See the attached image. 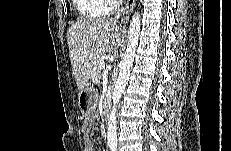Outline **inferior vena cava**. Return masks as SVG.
<instances>
[{
	"label": "inferior vena cava",
	"mask_w": 231,
	"mask_h": 151,
	"mask_svg": "<svg viewBox=\"0 0 231 151\" xmlns=\"http://www.w3.org/2000/svg\"><path fill=\"white\" fill-rule=\"evenodd\" d=\"M120 2L122 3L123 1L120 0ZM124 11H125V9H124V8H121V9L119 10V12L116 14L115 19H119V17L123 14Z\"/></svg>",
	"instance_id": "602c4592"
}]
</instances>
